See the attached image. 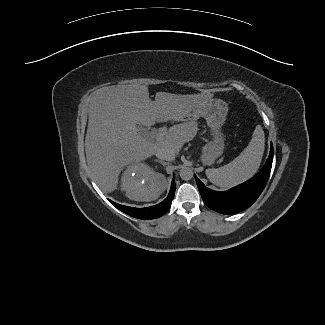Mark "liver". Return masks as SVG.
<instances>
[{"label": "liver", "instance_id": "obj_1", "mask_svg": "<svg viewBox=\"0 0 325 325\" xmlns=\"http://www.w3.org/2000/svg\"><path fill=\"white\" fill-rule=\"evenodd\" d=\"M212 93L172 94L157 92L149 98L146 85H121L101 88L90 96L89 122L85 151L90 176L105 192L117 189L119 175L128 166L159 149L178 154L197 133V123L184 122L169 128L161 141L151 142L142 136L137 125L152 126L188 116L213 98Z\"/></svg>", "mask_w": 325, "mask_h": 325}]
</instances>
